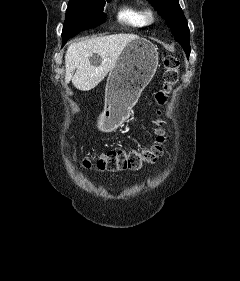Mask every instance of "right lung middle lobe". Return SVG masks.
<instances>
[{
    "label": "right lung middle lobe",
    "instance_id": "dd1d6c3e",
    "mask_svg": "<svg viewBox=\"0 0 240 281\" xmlns=\"http://www.w3.org/2000/svg\"><path fill=\"white\" fill-rule=\"evenodd\" d=\"M109 0H70L62 31V45L80 31L104 22L103 8Z\"/></svg>",
    "mask_w": 240,
    "mask_h": 281
}]
</instances>
